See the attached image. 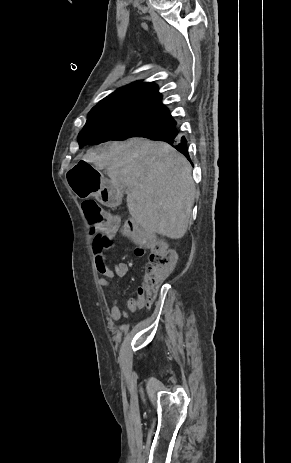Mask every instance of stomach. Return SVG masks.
<instances>
[{"mask_svg":"<svg viewBox=\"0 0 291 463\" xmlns=\"http://www.w3.org/2000/svg\"><path fill=\"white\" fill-rule=\"evenodd\" d=\"M78 166L68 171L65 180L79 198L95 196L103 205H116L119 201V190L106 182L99 171L86 163L83 157L77 160Z\"/></svg>","mask_w":291,"mask_h":463,"instance_id":"0dacf381","label":"stomach"}]
</instances>
